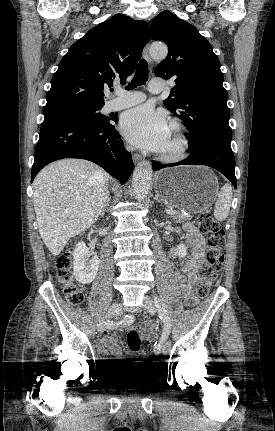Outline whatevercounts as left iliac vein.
<instances>
[{"label":"left iliac vein","instance_id":"obj_1","mask_svg":"<svg viewBox=\"0 0 275 431\" xmlns=\"http://www.w3.org/2000/svg\"><path fill=\"white\" fill-rule=\"evenodd\" d=\"M144 308L146 310V312H148L150 315H154L156 312V305H155V301L148 295L144 296ZM171 350V344L169 342H167L163 348H162V352L164 354H168Z\"/></svg>","mask_w":275,"mask_h":431}]
</instances>
